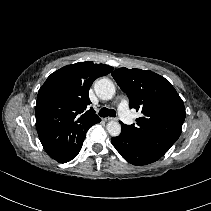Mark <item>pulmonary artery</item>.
I'll return each instance as SVG.
<instances>
[{"instance_id": "1", "label": "pulmonary artery", "mask_w": 211, "mask_h": 211, "mask_svg": "<svg viewBox=\"0 0 211 211\" xmlns=\"http://www.w3.org/2000/svg\"><path fill=\"white\" fill-rule=\"evenodd\" d=\"M118 113L123 122H125L126 124L133 123V116L130 112L127 99H122L118 104Z\"/></svg>"}]
</instances>
